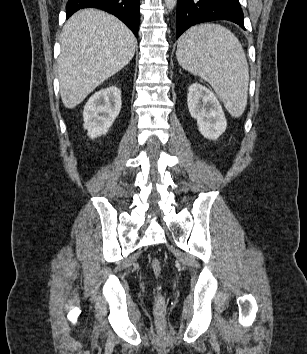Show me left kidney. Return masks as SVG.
I'll list each match as a JSON object with an SVG mask.
<instances>
[{
    "instance_id": "5707ae66",
    "label": "left kidney",
    "mask_w": 307,
    "mask_h": 354,
    "mask_svg": "<svg viewBox=\"0 0 307 354\" xmlns=\"http://www.w3.org/2000/svg\"><path fill=\"white\" fill-rule=\"evenodd\" d=\"M187 104L190 115L197 120L200 133L207 139L216 140L227 127L223 109L212 91L193 83L188 89Z\"/></svg>"
}]
</instances>
